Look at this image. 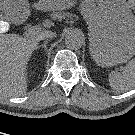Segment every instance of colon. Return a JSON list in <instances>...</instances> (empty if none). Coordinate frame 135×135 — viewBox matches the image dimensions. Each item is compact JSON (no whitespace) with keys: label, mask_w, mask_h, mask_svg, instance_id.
<instances>
[{"label":"colon","mask_w":135,"mask_h":135,"mask_svg":"<svg viewBox=\"0 0 135 135\" xmlns=\"http://www.w3.org/2000/svg\"><path fill=\"white\" fill-rule=\"evenodd\" d=\"M129 7L135 11V0H127Z\"/></svg>","instance_id":"5ec220e1"}]
</instances>
